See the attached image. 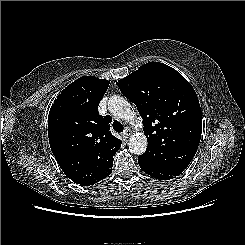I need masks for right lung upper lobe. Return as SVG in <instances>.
<instances>
[{
	"instance_id": "right-lung-upper-lobe-1",
	"label": "right lung upper lobe",
	"mask_w": 245,
	"mask_h": 245,
	"mask_svg": "<svg viewBox=\"0 0 245 245\" xmlns=\"http://www.w3.org/2000/svg\"><path fill=\"white\" fill-rule=\"evenodd\" d=\"M108 86V80L83 76L58 95L48 116L49 143L57 162L73 168L84 186L102 180L98 159L114 155L121 146L109 131L112 118L98 113Z\"/></svg>"
}]
</instances>
